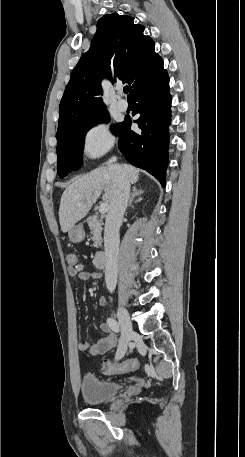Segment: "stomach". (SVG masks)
Instances as JSON below:
<instances>
[{"instance_id":"0dacf381","label":"stomach","mask_w":245,"mask_h":457,"mask_svg":"<svg viewBox=\"0 0 245 457\" xmlns=\"http://www.w3.org/2000/svg\"><path fill=\"white\" fill-rule=\"evenodd\" d=\"M69 239L72 243H81L85 237V231L82 224H74L68 231Z\"/></svg>"}]
</instances>
